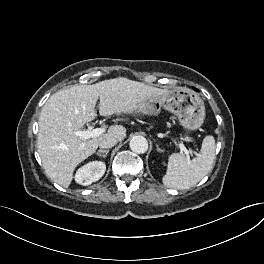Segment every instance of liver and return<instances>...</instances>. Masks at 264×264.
<instances>
[{
  "label": "liver",
  "mask_w": 264,
  "mask_h": 264,
  "mask_svg": "<svg viewBox=\"0 0 264 264\" xmlns=\"http://www.w3.org/2000/svg\"><path fill=\"white\" fill-rule=\"evenodd\" d=\"M168 92L127 78H114L93 85H74L53 94L43 106L38 122L37 149L47 176L67 188L75 168L95 153L103 138L125 139L122 125L112 126L107 133L89 140L73 134L97 116L98 99L102 115L142 113L147 98H159Z\"/></svg>",
  "instance_id": "6515ba94"
}]
</instances>
